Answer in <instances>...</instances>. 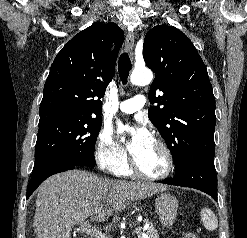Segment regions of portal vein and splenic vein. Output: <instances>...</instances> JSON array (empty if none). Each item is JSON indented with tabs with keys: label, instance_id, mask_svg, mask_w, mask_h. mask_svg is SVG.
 <instances>
[{
	"label": "portal vein and splenic vein",
	"instance_id": "obj_1",
	"mask_svg": "<svg viewBox=\"0 0 247 238\" xmlns=\"http://www.w3.org/2000/svg\"><path fill=\"white\" fill-rule=\"evenodd\" d=\"M79 229L84 231L87 234H90L92 236H95L97 238H105V236L102 234L101 231L97 230L96 228L89 225L87 222H82L79 224ZM142 230V227L138 226L135 228L134 233H140ZM144 238H147V236H144Z\"/></svg>",
	"mask_w": 247,
	"mask_h": 238
}]
</instances>
